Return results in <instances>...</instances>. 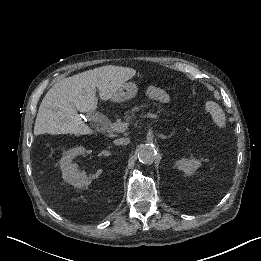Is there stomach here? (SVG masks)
<instances>
[{"label":"stomach","instance_id":"1","mask_svg":"<svg viewBox=\"0 0 261 261\" xmlns=\"http://www.w3.org/2000/svg\"><path fill=\"white\" fill-rule=\"evenodd\" d=\"M138 92V87L135 83L128 82L123 84L113 96V101L122 102L134 97Z\"/></svg>","mask_w":261,"mask_h":261}]
</instances>
